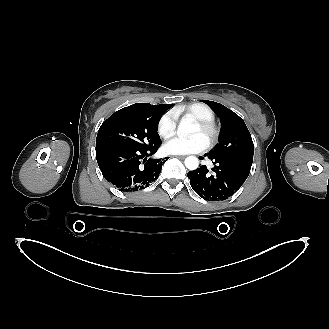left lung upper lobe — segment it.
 <instances>
[{
	"mask_svg": "<svg viewBox=\"0 0 329 329\" xmlns=\"http://www.w3.org/2000/svg\"><path fill=\"white\" fill-rule=\"evenodd\" d=\"M222 121L220 143L209 154L214 157L237 159L252 164L254 144L244 121L220 103L202 100Z\"/></svg>",
	"mask_w": 329,
	"mask_h": 329,
	"instance_id": "obj_1",
	"label": "left lung upper lobe"
}]
</instances>
